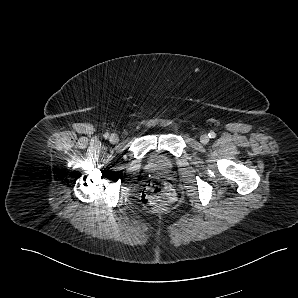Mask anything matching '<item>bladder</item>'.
<instances>
[{"instance_id": "31cf9c89", "label": "bladder", "mask_w": 298, "mask_h": 298, "mask_svg": "<svg viewBox=\"0 0 298 298\" xmlns=\"http://www.w3.org/2000/svg\"><path fill=\"white\" fill-rule=\"evenodd\" d=\"M145 168L152 173L168 174L174 168V161L164 151H151L147 154Z\"/></svg>"}]
</instances>
